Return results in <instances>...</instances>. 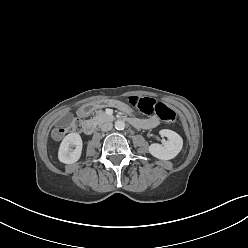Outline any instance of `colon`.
Here are the masks:
<instances>
[{"instance_id":"5ec220e1","label":"colon","mask_w":248,"mask_h":248,"mask_svg":"<svg viewBox=\"0 0 248 248\" xmlns=\"http://www.w3.org/2000/svg\"><path fill=\"white\" fill-rule=\"evenodd\" d=\"M129 102L144 114H155L167 123H174L177 119L176 113L173 109L163 103L155 101L154 99L133 97L129 99ZM80 126L79 122H73L69 127L56 128L52 135L55 139H61L68 132L78 130Z\"/></svg>"}]
</instances>
